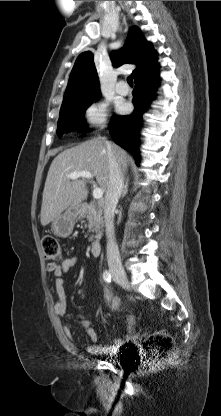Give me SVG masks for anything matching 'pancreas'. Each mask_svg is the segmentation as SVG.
<instances>
[{
	"mask_svg": "<svg viewBox=\"0 0 221 416\" xmlns=\"http://www.w3.org/2000/svg\"><path fill=\"white\" fill-rule=\"evenodd\" d=\"M79 219H87L88 225L85 224V227L88 226L89 232H95L96 238L101 237V229L103 227L104 221L102 217V209L96 203H90L89 205H84L79 211ZM93 236H91V239Z\"/></svg>",
	"mask_w": 221,
	"mask_h": 416,
	"instance_id": "cf45deb5",
	"label": "pancreas"
}]
</instances>
